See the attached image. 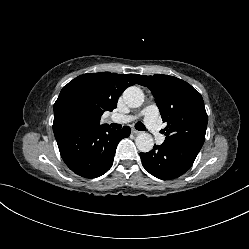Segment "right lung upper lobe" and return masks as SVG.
I'll return each instance as SVG.
<instances>
[{"label": "right lung upper lobe", "instance_id": "cb5924a9", "mask_svg": "<svg viewBox=\"0 0 249 249\" xmlns=\"http://www.w3.org/2000/svg\"><path fill=\"white\" fill-rule=\"evenodd\" d=\"M143 78V75L138 74L110 72L87 73L76 77L62 88L54 104L53 127L67 124L61 118L67 105H75L81 110L80 120L75 126L90 129L108 126L100 124L102 114L116 108L123 91L136 83L140 84Z\"/></svg>", "mask_w": 249, "mask_h": 249}]
</instances>
